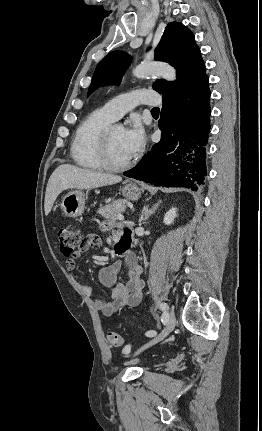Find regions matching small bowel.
<instances>
[{
  "instance_id": "1",
  "label": "small bowel",
  "mask_w": 262,
  "mask_h": 431,
  "mask_svg": "<svg viewBox=\"0 0 262 431\" xmlns=\"http://www.w3.org/2000/svg\"><path fill=\"white\" fill-rule=\"evenodd\" d=\"M104 229H108L109 225L104 224ZM132 230L129 227L119 226L117 229V235L119 237L131 238ZM98 246H94L91 249H98ZM123 264L127 270V282L118 283L117 277L122 267L121 261H115L107 267L99 271L100 282L107 286L113 287L111 299L109 301L95 298V307L104 316H111L117 310L123 307H135L141 301V294L144 283L141 279V266L138 263V257L136 252L128 251L123 258ZM66 268L68 270H74L76 267V258L72 257L66 260ZM78 288L86 295L95 297L92 288L86 283H77Z\"/></svg>"
}]
</instances>
